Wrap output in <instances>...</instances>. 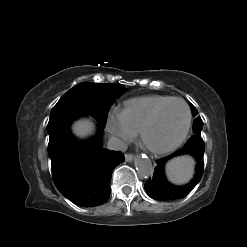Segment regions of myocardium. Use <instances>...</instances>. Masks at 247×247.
<instances>
[{
	"label": "myocardium",
	"instance_id": "obj_1",
	"mask_svg": "<svg viewBox=\"0 0 247 247\" xmlns=\"http://www.w3.org/2000/svg\"><path fill=\"white\" fill-rule=\"evenodd\" d=\"M172 102H181L186 109L187 118H186V124H185L184 131L181 134V136L174 143H172L168 146H165V147H153L146 142V139H145L146 133L150 129V127L155 123V121L157 120V118H158L159 114L162 112V110ZM191 122H192V113H191V109H190L188 103L182 98L172 97V98L166 100L165 102L161 103L152 112V114L148 117V119L144 122V124L142 125V127L139 130L140 141H141L142 145L148 151H150L153 154L161 155V154L169 153V152L177 149L186 140V138L189 134V131H190Z\"/></svg>",
	"mask_w": 247,
	"mask_h": 247
}]
</instances>
